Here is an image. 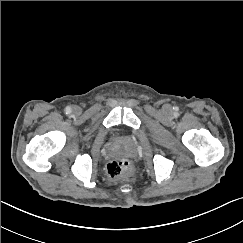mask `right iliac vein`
I'll list each match as a JSON object with an SVG mask.
<instances>
[{
	"label": "right iliac vein",
	"instance_id": "obj_1",
	"mask_svg": "<svg viewBox=\"0 0 243 243\" xmlns=\"http://www.w3.org/2000/svg\"><path fill=\"white\" fill-rule=\"evenodd\" d=\"M72 111L74 114L78 115L81 113V108L79 106H74Z\"/></svg>",
	"mask_w": 243,
	"mask_h": 243
}]
</instances>
